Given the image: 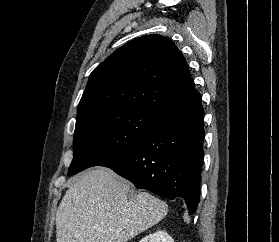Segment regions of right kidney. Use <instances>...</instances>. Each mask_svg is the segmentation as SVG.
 <instances>
[{
    "mask_svg": "<svg viewBox=\"0 0 279 242\" xmlns=\"http://www.w3.org/2000/svg\"><path fill=\"white\" fill-rule=\"evenodd\" d=\"M139 242H174V240L167 234V232L159 230L155 233L145 236Z\"/></svg>",
    "mask_w": 279,
    "mask_h": 242,
    "instance_id": "obj_1",
    "label": "right kidney"
}]
</instances>
